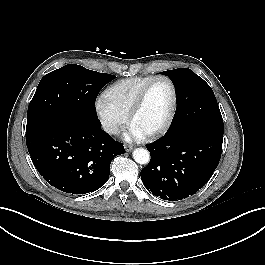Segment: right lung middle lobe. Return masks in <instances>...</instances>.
I'll return each mask as SVG.
<instances>
[{
	"mask_svg": "<svg viewBox=\"0 0 265 265\" xmlns=\"http://www.w3.org/2000/svg\"><path fill=\"white\" fill-rule=\"evenodd\" d=\"M114 75L67 64L45 75L29 104L26 134L75 116L98 119L95 100Z\"/></svg>",
	"mask_w": 265,
	"mask_h": 265,
	"instance_id": "right-lung-middle-lobe-1",
	"label": "right lung middle lobe"
}]
</instances>
